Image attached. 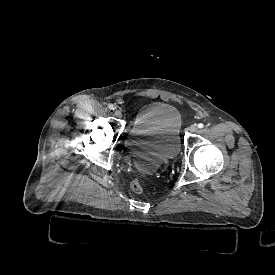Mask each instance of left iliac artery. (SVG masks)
Instances as JSON below:
<instances>
[{
	"instance_id": "44dca946",
	"label": "left iliac artery",
	"mask_w": 275,
	"mask_h": 275,
	"mask_svg": "<svg viewBox=\"0 0 275 275\" xmlns=\"http://www.w3.org/2000/svg\"><path fill=\"white\" fill-rule=\"evenodd\" d=\"M203 127H204V125L202 123L198 124V128H203Z\"/></svg>"
}]
</instances>
